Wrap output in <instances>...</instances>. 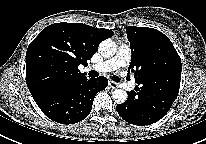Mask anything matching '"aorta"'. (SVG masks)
<instances>
[{
    "label": "aorta",
    "instance_id": "obj_1",
    "mask_svg": "<svg viewBox=\"0 0 206 144\" xmlns=\"http://www.w3.org/2000/svg\"><path fill=\"white\" fill-rule=\"evenodd\" d=\"M117 51L116 43L111 39L103 40L99 45V52L103 57H111ZM112 98L117 104L124 103L127 98V92L123 89H115L112 93Z\"/></svg>",
    "mask_w": 206,
    "mask_h": 144
}]
</instances>
